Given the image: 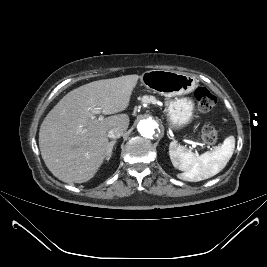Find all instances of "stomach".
I'll use <instances>...</instances> for the list:
<instances>
[{
  "label": "stomach",
  "mask_w": 267,
  "mask_h": 267,
  "mask_svg": "<svg viewBox=\"0 0 267 267\" xmlns=\"http://www.w3.org/2000/svg\"><path fill=\"white\" fill-rule=\"evenodd\" d=\"M141 81L147 88L166 97L167 120L173 129L179 130L191 123L194 103L182 96L197 88L198 82L194 76L176 71L151 70L142 75Z\"/></svg>",
  "instance_id": "1"
}]
</instances>
